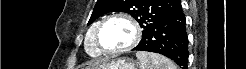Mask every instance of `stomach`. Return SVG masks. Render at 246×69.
<instances>
[{
    "label": "stomach",
    "instance_id": "1",
    "mask_svg": "<svg viewBox=\"0 0 246 69\" xmlns=\"http://www.w3.org/2000/svg\"><path fill=\"white\" fill-rule=\"evenodd\" d=\"M85 69H138L134 63L125 58L113 59L109 62H104L92 66H88Z\"/></svg>",
    "mask_w": 246,
    "mask_h": 69
}]
</instances>
